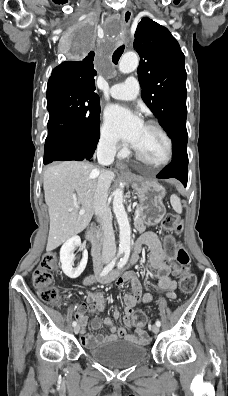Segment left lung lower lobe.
<instances>
[{
	"label": "left lung lower lobe",
	"mask_w": 228,
	"mask_h": 396,
	"mask_svg": "<svg viewBox=\"0 0 228 396\" xmlns=\"http://www.w3.org/2000/svg\"><path fill=\"white\" fill-rule=\"evenodd\" d=\"M186 117L187 115L179 116L165 130L173 141V159L171 163L157 175V178L162 179L176 178L181 181L185 187L188 180V134L186 129Z\"/></svg>",
	"instance_id": "0a47b994"
}]
</instances>
